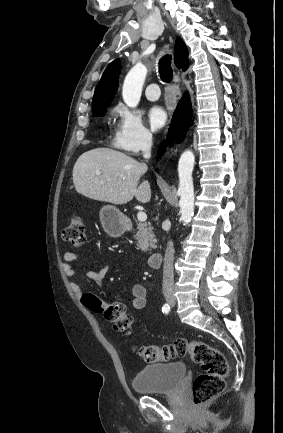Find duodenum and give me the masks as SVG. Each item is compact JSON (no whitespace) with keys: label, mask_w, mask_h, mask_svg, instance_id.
<instances>
[{"label":"duodenum","mask_w":283,"mask_h":433,"mask_svg":"<svg viewBox=\"0 0 283 433\" xmlns=\"http://www.w3.org/2000/svg\"><path fill=\"white\" fill-rule=\"evenodd\" d=\"M162 259L163 256L161 253H153L148 260L149 266L155 269L159 268L161 266Z\"/></svg>","instance_id":"duodenum-1"}]
</instances>
